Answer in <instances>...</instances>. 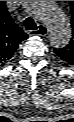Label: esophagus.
Listing matches in <instances>:
<instances>
[{
  "label": "esophagus",
  "mask_w": 74,
  "mask_h": 122,
  "mask_svg": "<svg viewBox=\"0 0 74 122\" xmlns=\"http://www.w3.org/2000/svg\"><path fill=\"white\" fill-rule=\"evenodd\" d=\"M47 27L43 24H39L36 30H31L29 33L32 36H45L47 34Z\"/></svg>",
  "instance_id": "esophagus-1"
}]
</instances>
